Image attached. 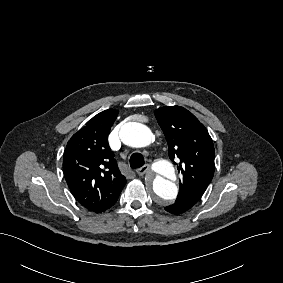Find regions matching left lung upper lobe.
Returning <instances> with one entry per match:
<instances>
[{
  "instance_id": "left-lung-upper-lobe-1",
  "label": "left lung upper lobe",
  "mask_w": 283,
  "mask_h": 283,
  "mask_svg": "<svg viewBox=\"0 0 283 283\" xmlns=\"http://www.w3.org/2000/svg\"><path fill=\"white\" fill-rule=\"evenodd\" d=\"M155 117L168 142L170 159L180 160L177 168L183 179L177 199L188 197L199 201L215 169V151L208 131L191 112L179 106L159 108Z\"/></svg>"
}]
</instances>
